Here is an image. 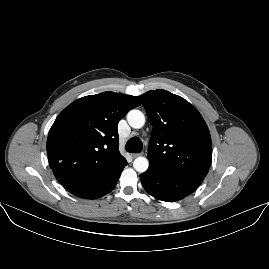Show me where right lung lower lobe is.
Here are the masks:
<instances>
[{
	"instance_id": "right-lung-lower-lobe-1",
	"label": "right lung lower lobe",
	"mask_w": 269,
	"mask_h": 269,
	"mask_svg": "<svg viewBox=\"0 0 269 269\" xmlns=\"http://www.w3.org/2000/svg\"><path fill=\"white\" fill-rule=\"evenodd\" d=\"M127 164L123 157L100 175L70 179L61 184L65 189L78 197L96 199L106 195L115 188L119 176Z\"/></svg>"
}]
</instances>
